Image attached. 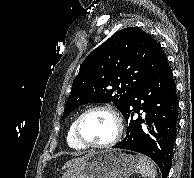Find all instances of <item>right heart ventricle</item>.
<instances>
[{"mask_svg": "<svg viewBox=\"0 0 194 178\" xmlns=\"http://www.w3.org/2000/svg\"><path fill=\"white\" fill-rule=\"evenodd\" d=\"M74 122L75 120L70 124L68 131H67V135H66V142L68 144V146L71 149L74 150H83L86 147H84L83 145H81L75 138L74 136Z\"/></svg>", "mask_w": 194, "mask_h": 178, "instance_id": "right-heart-ventricle-1", "label": "right heart ventricle"}]
</instances>
